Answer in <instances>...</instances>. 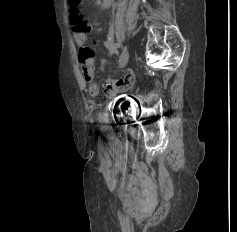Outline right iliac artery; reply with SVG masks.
Masks as SVG:
<instances>
[{"label":"right iliac artery","mask_w":237,"mask_h":232,"mask_svg":"<svg viewBox=\"0 0 237 232\" xmlns=\"http://www.w3.org/2000/svg\"><path fill=\"white\" fill-rule=\"evenodd\" d=\"M113 47H114V48H117V47H118V44H117V43H113Z\"/></svg>","instance_id":"obj_1"}]
</instances>
